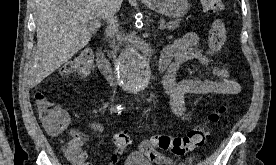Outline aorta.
Returning a JSON list of instances; mask_svg holds the SVG:
<instances>
[{
	"label": "aorta",
	"instance_id": "aorta-1",
	"mask_svg": "<svg viewBox=\"0 0 276 165\" xmlns=\"http://www.w3.org/2000/svg\"><path fill=\"white\" fill-rule=\"evenodd\" d=\"M148 64L133 46L127 47L119 61V78L123 87L141 89L148 76Z\"/></svg>",
	"mask_w": 276,
	"mask_h": 165
}]
</instances>
